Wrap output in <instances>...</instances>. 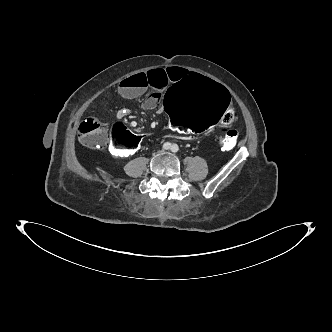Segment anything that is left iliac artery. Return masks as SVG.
Listing matches in <instances>:
<instances>
[{
	"label": "left iliac artery",
	"mask_w": 332,
	"mask_h": 332,
	"mask_svg": "<svg viewBox=\"0 0 332 332\" xmlns=\"http://www.w3.org/2000/svg\"><path fill=\"white\" fill-rule=\"evenodd\" d=\"M178 150H179V147H178L177 144H173V145L171 146V151H172V152L176 153V152H178Z\"/></svg>",
	"instance_id": "1"
}]
</instances>
